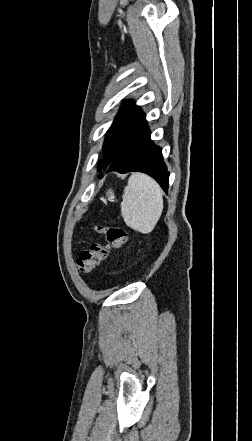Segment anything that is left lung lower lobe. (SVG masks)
I'll use <instances>...</instances> for the list:
<instances>
[{
	"label": "left lung lower lobe",
	"instance_id": "obj_1",
	"mask_svg": "<svg viewBox=\"0 0 252 441\" xmlns=\"http://www.w3.org/2000/svg\"><path fill=\"white\" fill-rule=\"evenodd\" d=\"M108 166V172H143L154 178L167 193L169 172L159 146L150 139V131L141 115L127 132L117 154ZM106 167V166H105Z\"/></svg>",
	"mask_w": 252,
	"mask_h": 441
}]
</instances>
